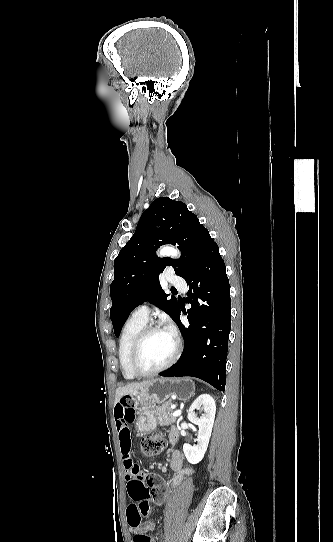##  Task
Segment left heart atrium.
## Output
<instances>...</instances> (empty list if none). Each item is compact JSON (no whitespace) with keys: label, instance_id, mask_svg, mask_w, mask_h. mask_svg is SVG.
Masks as SVG:
<instances>
[{"label":"left heart atrium","instance_id":"left-heart-atrium-1","mask_svg":"<svg viewBox=\"0 0 333 542\" xmlns=\"http://www.w3.org/2000/svg\"><path fill=\"white\" fill-rule=\"evenodd\" d=\"M165 330L172 336H174L176 333L175 327L171 323L166 325Z\"/></svg>","mask_w":333,"mask_h":542}]
</instances>
